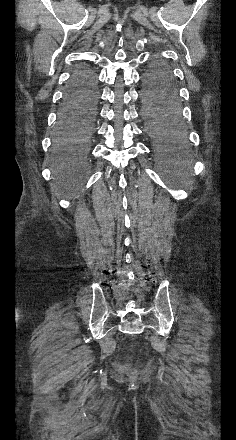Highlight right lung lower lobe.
<instances>
[{
    "label": "right lung lower lobe",
    "mask_w": 236,
    "mask_h": 440,
    "mask_svg": "<svg viewBox=\"0 0 236 440\" xmlns=\"http://www.w3.org/2000/svg\"><path fill=\"white\" fill-rule=\"evenodd\" d=\"M88 82H97L95 72L91 68L76 71L66 91L63 107L58 118V130L64 131L74 128L81 121V107L83 99L80 98L81 89ZM75 94V97H72Z\"/></svg>",
    "instance_id": "obj_1"
}]
</instances>
